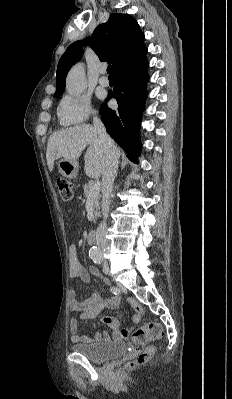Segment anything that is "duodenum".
<instances>
[{
  "label": "duodenum",
  "mask_w": 232,
  "mask_h": 399,
  "mask_svg": "<svg viewBox=\"0 0 232 399\" xmlns=\"http://www.w3.org/2000/svg\"><path fill=\"white\" fill-rule=\"evenodd\" d=\"M97 232L96 230L92 229L89 230L87 233V241L89 244H94L96 242Z\"/></svg>",
  "instance_id": "1"
}]
</instances>
